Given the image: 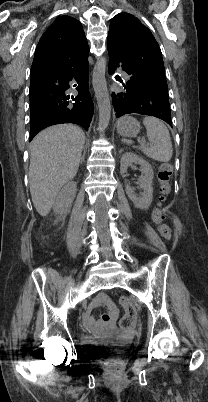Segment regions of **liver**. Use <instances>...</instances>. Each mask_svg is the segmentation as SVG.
Returning a JSON list of instances; mask_svg holds the SVG:
<instances>
[{"label": "liver", "mask_w": 208, "mask_h": 402, "mask_svg": "<svg viewBox=\"0 0 208 402\" xmlns=\"http://www.w3.org/2000/svg\"><path fill=\"white\" fill-rule=\"evenodd\" d=\"M84 144V132L73 124L51 126L32 140L29 186L40 216L49 214L60 188L76 176Z\"/></svg>", "instance_id": "1"}]
</instances>
